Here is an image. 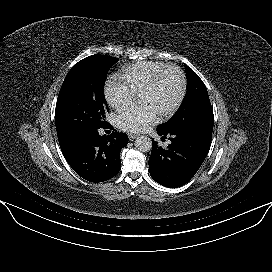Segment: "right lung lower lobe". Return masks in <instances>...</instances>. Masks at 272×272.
Instances as JSON below:
<instances>
[{
	"label": "right lung lower lobe",
	"mask_w": 272,
	"mask_h": 272,
	"mask_svg": "<svg viewBox=\"0 0 272 272\" xmlns=\"http://www.w3.org/2000/svg\"><path fill=\"white\" fill-rule=\"evenodd\" d=\"M127 143L125 133L114 131L110 136H100L96 130L79 138L63 155L72 169L85 180L104 182L120 171V152Z\"/></svg>",
	"instance_id": "obj_1"
}]
</instances>
